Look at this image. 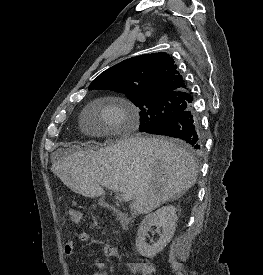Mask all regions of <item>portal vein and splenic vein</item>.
I'll list each match as a JSON object with an SVG mask.
<instances>
[{
    "mask_svg": "<svg viewBox=\"0 0 263 275\" xmlns=\"http://www.w3.org/2000/svg\"><path fill=\"white\" fill-rule=\"evenodd\" d=\"M120 198H122L124 201L132 200L131 194H123Z\"/></svg>",
    "mask_w": 263,
    "mask_h": 275,
    "instance_id": "portal-vein-and-splenic-vein-1",
    "label": "portal vein and splenic vein"
}]
</instances>
